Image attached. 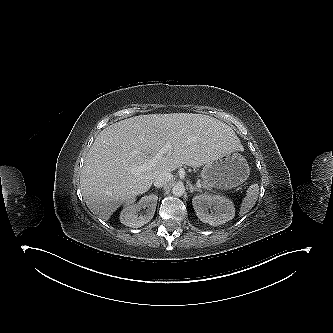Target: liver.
Returning a JSON list of instances; mask_svg holds the SVG:
<instances>
[{
    "mask_svg": "<svg viewBox=\"0 0 333 333\" xmlns=\"http://www.w3.org/2000/svg\"><path fill=\"white\" fill-rule=\"evenodd\" d=\"M170 143L169 155L138 173ZM243 146L222 121L202 114H148L103 129L89 149L80 174L87 207L104 221L125 202L147 192L160 172L187 165L200 167Z\"/></svg>",
    "mask_w": 333,
    "mask_h": 333,
    "instance_id": "6515ba94",
    "label": "liver"
}]
</instances>
